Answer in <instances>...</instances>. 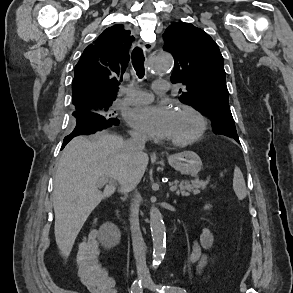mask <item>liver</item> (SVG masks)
<instances>
[{"instance_id":"6515ba94","label":"liver","mask_w":293,"mask_h":293,"mask_svg":"<svg viewBox=\"0 0 293 293\" xmlns=\"http://www.w3.org/2000/svg\"><path fill=\"white\" fill-rule=\"evenodd\" d=\"M148 155L134 154L120 136L106 132L73 138L64 148L54 180V233L62 255L69 256L75 239L91 212L129 177L138 182ZM108 178L106 184L101 178ZM105 185L104 191L100 189Z\"/></svg>"}]
</instances>
